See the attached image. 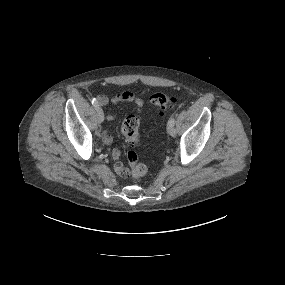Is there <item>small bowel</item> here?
<instances>
[{
	"label": "small bowel",
	"mask_w": 285,
	"mask_h": 285,
	"mask_svg": "<svg viewBox=\"0 0 285 285\" xmlns=\"http://www.w3.org/2000/svg\"><path fill=\"white\" fill-rule=\"evenodd\" d=\"M97 101L101 106H107V105L119 106L124 103H134L138 111L143 110L145 106L144 100L140 97H137L134 93L130 91H120L112 97H108L106 95H99L97 97ZM115 116H116L115 113H108L106 114V119L110 121L113 120ZM101 137L104 143L106 144H111L113 142L112 137L106 131L101 133ZM112 156L114 162L113 166L116 174L122 178L127 177L129 175V170L119 160L120 157L119 151L114 150Z\"/></svg>",
	"instance_id": "small-bowel-1"
}]
</instances>
